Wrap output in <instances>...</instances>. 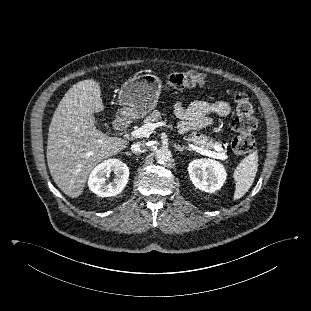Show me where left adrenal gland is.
I'll return each instance as SVG.
<instances>
[{"instance_id": "obj_1", "label": "left adrenal gland", "mask_w": 311, "mask_h": 311, "mask_svg": "<svg viewBox=\"0 0 311 311\" xmlns=\"http://www.w3.org/2000/svg\"><path fill=\"white\" fill-rule=\"evenodd\" d=\"M175 148L178 150V151H180V152H183L184 150H188V151H192V149L191 148H189V147H186V146H180V145H176L175 144Z\"/></svg>"}]
</instances>
